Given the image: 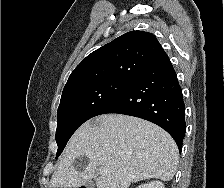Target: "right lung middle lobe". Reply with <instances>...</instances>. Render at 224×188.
<instances>
[{"instance_id": "obj_1", "label": "right lung middle lobe", "mask_w": 224, "mask_h": 188, "mask_svg": "<svg viewBox=\"0 0 224 188\" xmlns=\"http://www.w3.org/2000/svg\"><path fill=\"white\" fill-rule=\"evenodd\" d=\"M132 81L133 79L110 78L75 84L63 90L57 111L56 158L75 130L85 121L100 115L129 88Z\"/></svg>"}]
</instances>
